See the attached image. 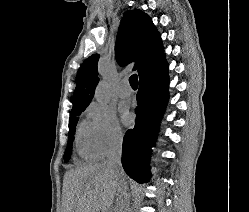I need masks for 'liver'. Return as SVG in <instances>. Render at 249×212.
<instances>
[{
	"label": "liver",
	"instance_id": "liver-1",
	"mask_svg": "<svg viewBox=\"0 0 249 212\" xmlns=\"http://www.w3.org/2000/svg\"><path fill=\"white\" fill-rule=\"evenodd\" d=\"M121 176L126 178L124 172ZM66 212H114L113 200L118 194L117 174L113 166L83 164L66 172L64 178Z\"/></svg>",
	"mask_w": 249,
	"mask_h": 212
}]
</instances>
